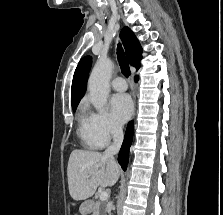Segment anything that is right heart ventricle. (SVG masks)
I'll return each mask as SVG.
<instances>
[{
    "mask_svg": "<svg viewBox=\"0 0 223 215\" xmlns=\"http://www.w3.org/2000/svg\"><path fill=\"white\" fill-rule=\"evenodd\" d=\"M79 119V129L78 133L83 140V142L90 148V149H100L103 147V143H101L90 131L86 124V110L81 109L78 114Z\"/></svg>",
    "mask_w": 223,
    "mask_h": 215,
    "instance_id": "obj_1",
    "label": "right heart ventricle"
}]
</instances>
